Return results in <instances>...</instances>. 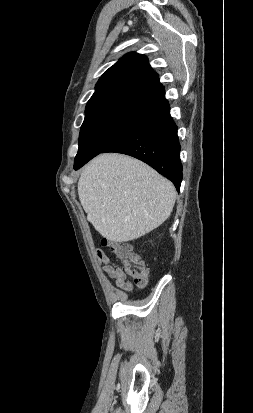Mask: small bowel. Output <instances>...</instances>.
Instances as JSON below:
<instances>
[{
    "instance_id": "c3829d8e",
    "label": "small bowel",
    "mask_w": 253,
    "mask_h": 413,
    "mask_svg": "<svg viewBox=\"0 0 253 413\" xmlns=\"http://www.w3.org/2000/svg\"><path fill=\"white\" fill-rule=\"evenodd\" d=\"M96 258L98 262L102 265V270L107 274L115 283V285L127 292L133 290L132 283L127 279V275L123 269L110 260V258L105 254L102 249L96 250Z\"/></svg>"
}]
</instances>
